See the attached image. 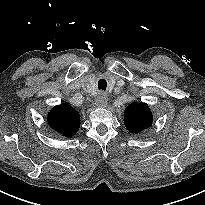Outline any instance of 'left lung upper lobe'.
<instances>
[{
  "label": "left lung upper lobe",
  "instance_id": "5c2ea615",
  "mask_svg": "<svg viewBox=\"0 0 205 205\" xmlns=\"http://www.w3.org/2000/svg\"><path fill=\"white\" fill-rule=\"evenodd\" d=\"M151 111L146 103H133L124 113V124L132 133H138L151 126Z\"/></svg>",
  "mask_w": 205,
  "mask_h": 205
}]
</instances>
